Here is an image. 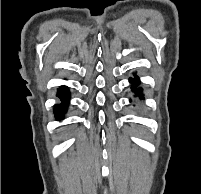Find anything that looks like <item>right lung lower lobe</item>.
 <instances>
[{
	"label": "right lung lower lobe",
	"instance_id": "98d812e1",
	"mask_svg": "<svg viewBox=\"0 0 201 194\" xmlns=\"http://www.w3.org/2000/svg\"><path fill=\"white\" fill-rule=\"evenodd\" d=\"M58 97L61 99V104L55 106V114L56 118L62 119L63 113L66 111V107L68 105V101L70 98L69 91L67 87H61L58 90Z\"/></svg>",
	"mask_w": 201,
	"mask_h": 194
}]
</instances>
